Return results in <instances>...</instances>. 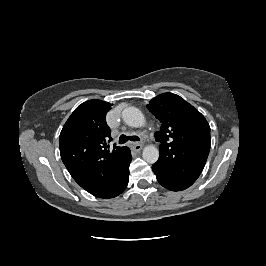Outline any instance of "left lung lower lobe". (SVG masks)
I'll return each mask as SVG.
<instances>
[{
	"label": "left lung lower lobe",
	"instance_id": "obj_1",
	"mask_svg": "<svg viewBox=\"0 0 266 266\" xmlns=\"http://www.w3.org/2000/svg\"><path fill=\"white\" fill-rule=\"evenodd\" d=\"M152 169L156 175L158 182L165 188L172 191H181L190 187L195 181L189 180H180L174 177H171L164 173L160 168L152 165Z\"/></svg>",
	"mask_w": 266,
	"mask_h": 266
}]
</instances>
